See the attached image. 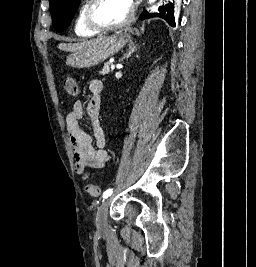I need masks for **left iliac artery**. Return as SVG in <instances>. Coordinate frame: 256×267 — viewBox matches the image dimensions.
<instances>
[{
	"label": "left iliac artery",
	"instance_id": "1",
	"mask_svg": "<svg viewBox=\"0 0 256 267\" xmlns=\"http://www.w3.org/2000/svg\"><path fill=\"white\" fill-rule=\"evenodd\" d=\"M113 192V189H108L103 193V199L108 198Z\"/></svg>",
	"mask_w": 256,
	"mask_h": 267
}]
</instances>
